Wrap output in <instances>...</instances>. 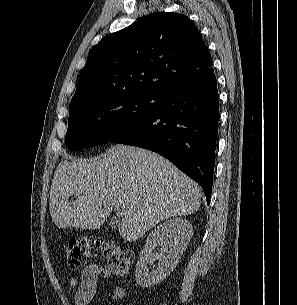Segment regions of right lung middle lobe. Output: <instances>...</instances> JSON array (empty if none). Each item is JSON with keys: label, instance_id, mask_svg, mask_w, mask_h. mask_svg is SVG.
<instances>
[{"label": "right lung middle lobe", "instance_id": "1", "mask_svg": "<svg viewBox=\"0 0 297 305\" xmlns=\"http://www.w3.org/2000/svg\"><path fill=\"white\" fill-rule=\"evenodd\" d=\"M160 94L126 92L88 102L69 111L66 145L72 150L96 146L153 112Z\"/></svg>", "mask_w": 297, "mask_h": 305}]
</instances>
